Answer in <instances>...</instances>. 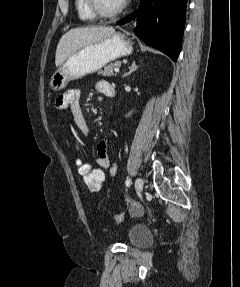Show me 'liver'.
Here are the masks:
<instances>
[{
	"label": "liver",
	"mask_w": 240,
	"mask_h": 287,
	"mask_svg": "<svg viewBox=\"0 0 240 287\" xmlns=\"http://www.w3.org/2000/svg\"><path fill=\"white\" fill-rule=\"evenodd\" d=\"M115 32L112 26L77 27L66 32L60 39L55 55L59 67L65 60L84 46L100 41Z\"/></svg>",
	"instance_id": "obj_1"
}]
</instances>
